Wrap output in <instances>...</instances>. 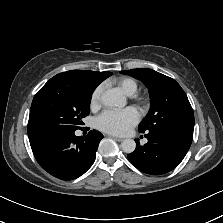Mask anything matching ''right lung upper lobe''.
I'll return each instance as SVG.
<instances>
[{"label":"right lung upper lobe","instance_id":"obj_1","mask_svg":"<svg viewBox=\"0 0 223 223\" xmlns=\"http://www.w3.org/2000/svg\"><path fill=\"white\" fill-rule=\"evenodd\" d=\"M111 74V72L70 70L55 75L48 81V83L64 85L81 91H94L95 88Z\"/></svg>","mask_w":223,"mask_h":223}]
</instances>
